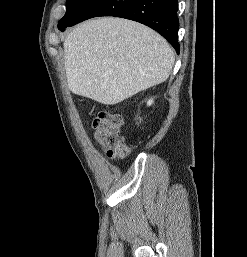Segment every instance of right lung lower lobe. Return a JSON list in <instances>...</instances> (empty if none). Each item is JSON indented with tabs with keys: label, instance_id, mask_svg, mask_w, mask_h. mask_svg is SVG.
Instances as JSON below:
<instances>
[{
	"label": "right lung lower lobe",
	"instance_id": "obj_1",
	"mask_svg": "<svg viewBox=\"0 0 247 257\" xmlns=\"http://www.w3.org/2000/svg\"><path fill=\"white\" fill-rule=\"evenodd\" d=\"M177 7V0H93L79 17L58 29L65 31L68 26L97 16L122 17L158 31L179 53Z\"/></svg>",
	"mask_w": 247,
	"mask_h": 257
}]
</instances>
